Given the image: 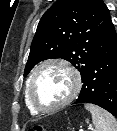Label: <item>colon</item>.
I'll return each instance as SVG.
<instances>
[{"instance_id": "5ec220e1", "label": "colon", "mask_w": 117, "mask_h": 131, "mask_svg": "<svg viewBox=\"0 0 117 131\" xmlns=\"http://www.w3.org/2000/svg\"><path fill=\"white\" fill-rule=\"evenodd\" d=\"M29 131H47V130H45V128H43L42 126H34Z\"/></svg>"}]
</instances>
